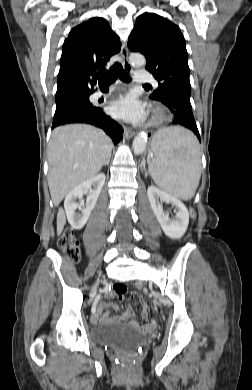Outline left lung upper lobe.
<instances>
[{
	"label": "left lung upper lobe",
	"mask_w": 252,
	"mask_h": 390,
	"mask_svg": "<svg viewBox=\"0 0 252 390\" xmlns=\"http://www.w3.org/2000/svg\"><path fill=\"white\" fill-rule=\"evenodd\" d=\"M128 47L145 56L146 69L159 82L151 99L162 101L169 93L191 96L188 53L177 25L157 14L143 13L136 19Z\"/></svg>",
	"instance_id": "obj_1"
}]
</instances>
